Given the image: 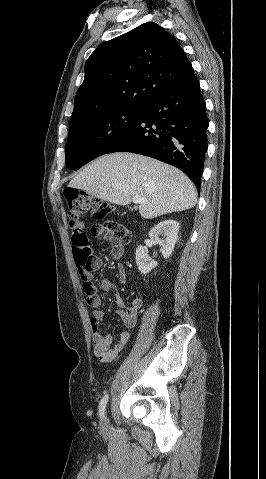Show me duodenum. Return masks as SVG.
<instances>
[{
    "label": "duodenum",
    "mask_w": 266,
    "mask_h": 479,
    "mask_svg": "<svg viewBox=\"0 0 266 479\" xmlns=\"http://www.w3.org/2000/svg\"><path fill=\"white\" fill-rule=\"evenodd\" d=\"M122 251V247L121 246H114L112 249H111V254L112 256H118Z\"/></svg>",
    "instance_id": "duodenum-1"
}]
</instances>
